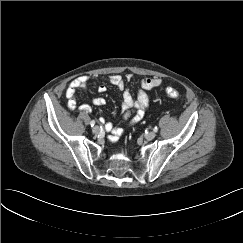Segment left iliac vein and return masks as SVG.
Here are the masks:
<instances>
[{
  "mask_svg": "<svg viewBox=\"0 0 243 243\" xmlns=\"http://www.w3.org/2000/svg\"><path fill=\"white\" fill-rule=\"evenodd\" d=\"M155 136H156V133L154 132V131H150V132H148L147 134H146V139L147 140H152V139H154L155 138Z\"/></svg>",
  "mask_w": 243,
  "mask_h": 243,
  "instance_id": "obj_1",
  "label": "left iliac vein"
}]
</instances>
